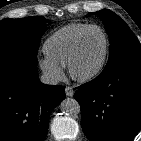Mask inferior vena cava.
<instances>
[{
  "label": "inferior vena cava",
  "mask_w": 141,
  "mask_h": 141,
  "mask_svg": "<svg viewBox=\"0 0 141 141\" xmlns=\"http://www.w3.org/2000/svg\"><path fill=\"white\" fill-rule=\"evenodd\" d=\"M40 81L47 85H57L59 78L52 73L45 72L41 75Z\"/></svg>",
  "instance_id": "602c4592"
}]
</instances>
